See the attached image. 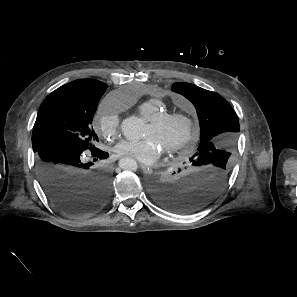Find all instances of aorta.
<instances>
[{
	"label": "aorta",
	"instance_id": "aorta-1",
	"mask_svg": "<svg viewBox=\"0 0 297 297\" xmlns=\"http://www.w3.org/2000/svg\"><path fill=\"white\" fill-rule=\"evenodd\" d=\"M121 130L126 139L136 141L144 135L145 125L140 118L132 116L122 121ZM119 166L127 171H135L138 168L137 162L130 157L122 158Z\"/></svg>",
	"mask_w": 297,
	"mask_h": 297
}]
</instances>
